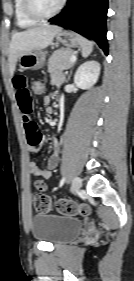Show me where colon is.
<instances>
[{
	"instance_id": "1",
	"label": "colon",
	"mask_w": 134,
	"mask_h": 281,
	"mask_svg": "<svg viewBox=\"0 0 134 281\" xmlns=\"http://www.w3.org/2000/svg\"><path fill=\"white\" fill-rule=\"evenodd\" d=\"M46 85L44 81L36 79L31 83V92L35 96H40L45 93ZM38 188L44 189V184L38 182ZM33 205L36 211L44 213L49 212L52 209H56L60 214L64 215H87L89 208L80 203H76L68 200H59L53 203L51 198L46 194H37L33 198Z\"/></svg>"
}]
</instances>
